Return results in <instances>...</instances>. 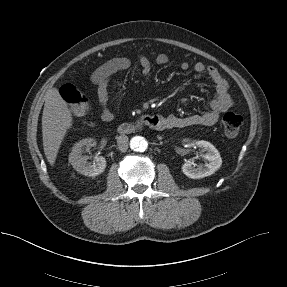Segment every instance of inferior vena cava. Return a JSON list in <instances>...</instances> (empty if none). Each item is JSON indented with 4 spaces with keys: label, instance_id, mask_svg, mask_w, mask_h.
I'll use <instances>...</instances> for the list:
<instances>
[{
    "label": "inferior vena cava",
    "instance_id": "inferior-vena-cava-1",
    "mask_svg": "<svg viewBox=\"0 0 287 287\" xmlns=\"http://www.w3.org/2000/svg\"><path fill=\"white\" fill-rule=\"evenodd\" d=\"M117 145L121 152H126L128 149V137L126 135H120L117 137Z\"/></svg>",
    "mask_w": 287,
    "mask_h": 287
}]
</instances>
